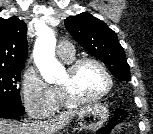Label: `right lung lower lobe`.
I'll list each match as a JSON object with an SVG mask.
<instances>
[{
  "label": "right lung lower lobe",
  "instance_id": "obj_1",
  "mask_svg": "<svg viewBox=\"0 0 153 134\" xmlns=\"http://www.w3.org/2000/svg\"><path fill=\"white\" fill-rule=\"evenodd\" d=\"M24 115L22 104L0 102V118L13 119Z\"/></svg>",
  "mask_w": 153,
  "mask_h": 134
}]
</instances>
